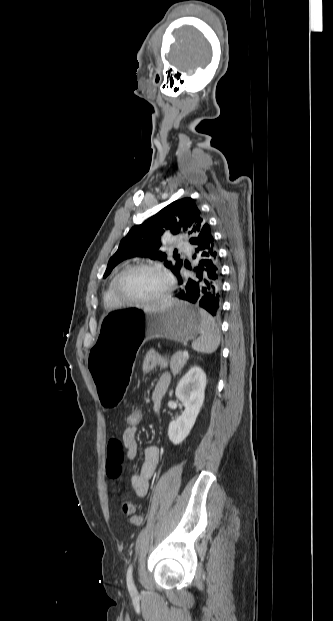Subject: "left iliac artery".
<instances>
[{"mask_svg": "<svg viewBox=\"0 0 333 621\" xmlns=\"http://www.w3.org/2000/svg\"><path fill=\"white\" fill-rule=\"evenodd\" d=\"M132 571H133V567H132V564H131L129 566V568L127 570V574H126V581H127V586H128L129 590H134L135 589L133 578H132Z\"/></svg>", "mask_w": 333, "mask_h": 621, "instance_id": "obj_1", "label": "left iliac artery"}]
</instances>
